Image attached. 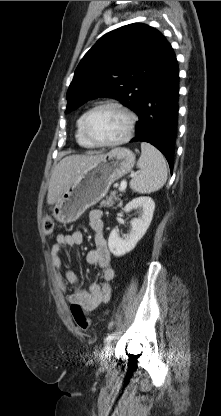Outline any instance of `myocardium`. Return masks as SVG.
I'll use <instances>...</instances> for the list:
<instances>
[{
	"label": "myocardium",
	"instance_id": "1",
	"mask_svg": "<svg viewBox=\"0 0 221 416\" xmlns=\"http://www.w3.org/2000/svg\"><path fill=\"white\" fill-rule=\"evenodd\" d=\"M104 107H114L119 109L121 112H123L125 114V116L127 117V128L125 133L115 139V140H111V141H99L96 140L94 137H92V135L90 134L89 130H88V122L90 117L92 116L93 113H95L97 110L104 108ZM135 125H136V115L133 113V111L131 109H129L126 105L122 104L119 101L116 100H105L102 101L98 104H96L95 106H93L92 108H90L84 115L83 120H82V131L84 136L94 145V146H101V147H113V146H117L120 144H123L125 142H127L133 135L134 133V129H135Z\"/></svg>",
	"mask_w": 221,
	"mask_h": 416
}]
</instances>
